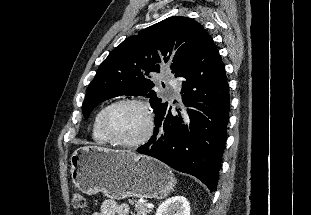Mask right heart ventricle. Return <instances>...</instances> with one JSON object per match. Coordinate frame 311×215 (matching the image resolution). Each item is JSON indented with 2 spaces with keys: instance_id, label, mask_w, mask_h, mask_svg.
Listing matches in <instances>:
<instances>
[{
  "instance_id": "obj_1",
  "label": "right heart ventricle",
  "mask_w": 311,
  "mask_h": 215,
  "mask_svg": "<svg viewBox=\"0 0 311 215\" xmlns=\"http://www.w3.org/2000/svg\"><path fill=\"white\" fill-rule=\"evenodd\" d=\"M106 106L100 108L95 117H94V120H93V126H92V137L93 139L95 140V142H97L98 144H108L110 143L109 140L104 136V134L102 133L101 131V128H100V119H101V116H102V113L104 111Z\"/></svg>"
}]
</instances>
